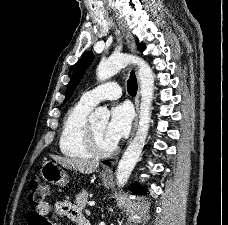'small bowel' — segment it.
Here are the masks:
<instances>
[{"instance_id":"c3829d8e","label":"small bowel","mask_w":228,"mask_h":225,"mask_svg":"<svg viewBox=\"0 0 228 225\" xmlns=\"http://www.w3.org/2000/svg\"><path fill=\"white\" fill-rule=\"evenodd\" d=\"M54 211L57 215L66 217L77 223L82 218L81 212L70 201H56L53 204L44 201L36 209L27 215L28 225H61L55 222H48L46 216Z\"/></svg>"}]
</instances>
